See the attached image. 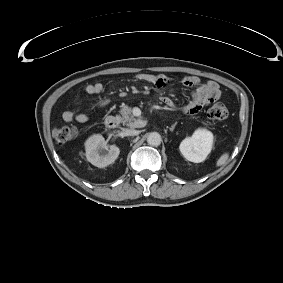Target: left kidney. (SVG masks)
Listing matches in <instances>:
<instances>
[{
    "label": "left kidney",
    "instance_id": "left-kidney-1",
    "mask_svg": "<svg viewBox=\"0 0 283 283\" xmlns=\"http://www.w3.org/2000/svg\"><path fill=\"white\" fill-rule=\"evenodd\" d=\"M212 145L213 134L206 129H197L191 137L181 142L179 149L188 161L200 163L211 152Z\"/></svg>",
    "mask_w": 283,
    "mask_h": 283
}]
</instances>
